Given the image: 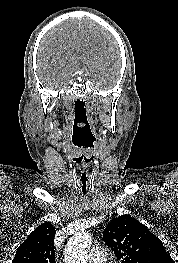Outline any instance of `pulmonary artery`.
<instances>
[{
	"mask_svg": "<svg viewBox=\"0 0 178 263\" xmlns=\"http://www.w3.org/2000/svg\"><path fill=\"white\" fill-rule=\"evenodd\" d=\"M107 261V253L101 247H94L90 250L88 256L89 263H105Z\"/></svg>",
	"mask_w": 178,
	"mask_h": 263,
	"instance_id": "obj_1",
	"label": "pulmonary artery"
}]
</instances>
